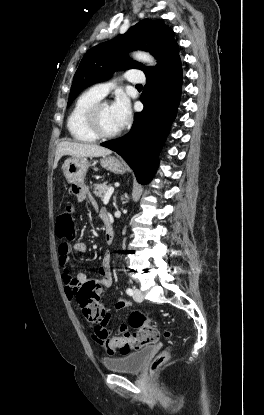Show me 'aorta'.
Returning <instances> with one entry per match:
<instances>
[{
  "mask_svg": "<svg viewBox=\"0 0 264 415\" xmlns=\"http://www.w3.org/2000/svg\"><path fill=\"white\" fill-rule=\"evenodd\" d=\"M133 57L141 62L155 65V59L147 52L137 51L133 53Z\"/></svg>",
  "mask_w": 264,
  "mask_h": 415,
  "instance_id": "1",
  "label": "aorta"
}]
</instances>
